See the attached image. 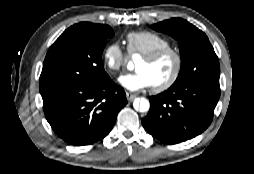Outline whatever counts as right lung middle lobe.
<instances>
[{
	"instance_id": "right-lung-middle-lobe-1",
	"label": "right lung middle lobe",
	"mask_w": 254,
	"mask_h": 174,
	"mask_svg": "<svg viewBox=\"0 0 254 174\" xmlns=\"http://www.w3.org/2000/svg\"><path fill=\"white\" fill-rule=\"evenodd\" d=\"M108 25L78 23L63 32L50 47L40 75V93L65 86L96 84L108 77L101 59Z\"/></svg>"
}]
</instances>
